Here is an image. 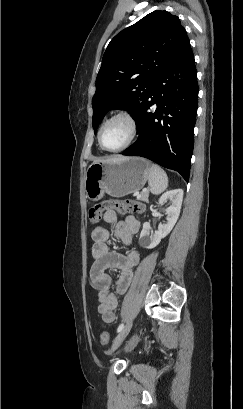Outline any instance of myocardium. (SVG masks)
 <instances>
[{"instance_id": "1", "label": "myocardium", "mask_w": 243, "mask_h": 409, "mask_svg": "<svg viewBox=\"0 0 243 409\" xmlns=\"http://www.w3.org/2000/svg\"><path fill=\"white\" fill-rule=\"evenodd\" d=\"M118 119H122L128 123L129 129H130V135L127 141L122 146L115 148V149H109L102 142V131L108 123L114 120H118ZM137 133H138V125H137V121L135 117L130 112L126 110H121V111L115 112L114 114H112L111 116H109L102 122L98 130L97 140L103 150L108 151V152H120L132 144V142L135 140L137 136Z\"/></svg>"}]
</instances>
